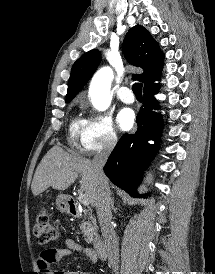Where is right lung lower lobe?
I'll list each match as a JSON object with an SVG mask.
<instances>
[{
  "label": "right lung lower lobe",
  "instance_id": "98d812e1",
  "mask_svg": "<svg viewBox=\"0 0 215 274\" xmlns=\"http://www.w3.org/2000/svg\"><path fill=\"white\" fill-rule=\"evenodd\" d=\"M158 89L159 86L144 89L143 106L136 120L137 131L121 137L104 166L108 178L132 197L147 196L137 194L136 190L148 162L145 157L152 158L158 148L162 119L159 113L153 111L158 109L154 98ZM148 140H154L155 144H149Z\"/></svg>",
  "mask_w": 215,
  "mask_h": 274
}]
</instances>
